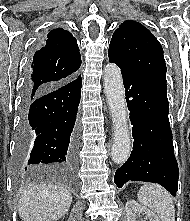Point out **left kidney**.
Returning a JSON list of instances; mask_svg holds the SVG:
<instances>
[{
	"label": "left kidney",
	"mask_w": 190,
	"mask_h": 221,
	"mask_svg": "<svg viewBox=\"0 0 190 221\" xmlns=\"http://www.w3.org/2000/svg\"><path fill=\"white\" fill-rule=\"evenodd\" d=\"M127 221H136L137 214L145 215L149 221H160L155 213L148 208L141 206L134 200L126 202L125 206Z\"/></svg>",
	"instance_id": "5707ae66"
}]
</instances>
